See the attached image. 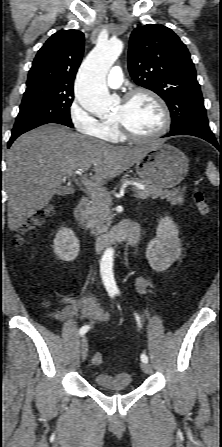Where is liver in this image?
Listing matches in <instances>:
<instances>
[{
  "label": "liver",
  "instance_id": "1",
  "mask_svg": "<svg viewBox=\"0 0 222 447\" xmlns=\"http://www.w3.org/2000/svg\"><path fill=\"white\" fill-rule=\"evenodd\" d=\"M147 148L113 146L55 124L21 135L7 152L9 229L16 231L47 206L73 172L93 166L92 181L105 184L132 167Z\"/></svg>",
  "mask_w": 222,
  "mask_h": 447
}]
</instances>
